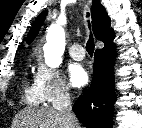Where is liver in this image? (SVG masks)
<instances>
[{"label": "liver", "mask_w": 142, "mask_h": 128, "mask_svg": "<svg viewBox=\"0 0 142 128\" xmlns=\"http://www.w3.org/2000/svg\"><path fill=\"white\" fill-rule=\"evenodd\" d=\"M12 128H67V123L62 115L52 108L27 107L15 116Z\"/></svg>", "instance_id": "6515ba94"}]
</instances>
